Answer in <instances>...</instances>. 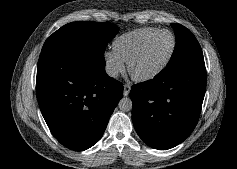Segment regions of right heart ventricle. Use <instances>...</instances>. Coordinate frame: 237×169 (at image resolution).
<instances>
[{
	"mask_svg": "<svg viewBox=\"0 0 237 169\" xmlns=\"http://www.w3.org/2000/svg\"><path fill=\"white\" fill-rule=\"evenodd\" d=\"M157 31V28L144 27L126 32L114 40L113 50L124 62H128L139 47Z\"/></svg>",
	"mask_w": 237,
	"mask_h": 169,
	"instance_id": "obj_1",
	"label": "right heart ventricle"
}]
</instances>
